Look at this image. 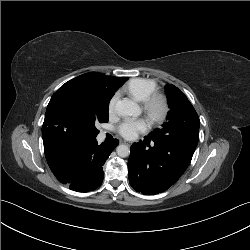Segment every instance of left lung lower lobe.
I'll return each mask as SVG.
<instances>
[{"label": "left lung lower lobe", "mask_w": 250, "mask_h": 250, "mask_svg": "<svg viewBox=\"0 0 250 250\" xmlns=\"http://www.w3.org/2000/svg\"><path fill=\"white\" fill-rule=\"evenodd\" d=\"M199 140V131L172 135L171 138L133 143L128 160L130 185L145 195L171 187L189 166Z\"/></svg>", "instance_id": "left-lung-lower-lobe-1"}]
</instances>
